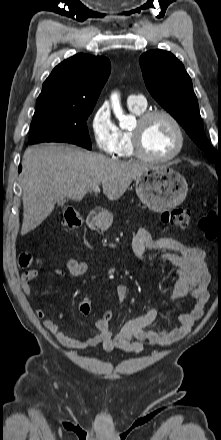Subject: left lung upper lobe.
<instances>
[{"label":"left lung upper lobe","mask_w":221,"mask_h":440,"mask_svg":"<svg viewBox=\"0 0 221 440\" xmlns=\"http://www.w3.org/2000/svg\"><path fill=\"white\" fill-rule=\"evenodd\" d=\"M143 78L153 98L186 130L213 160L216 153L204 133L192 81L182 62L172 53L151 50L139 58Z\"/></svg>","instance_id":"left-lung-upper-lobe-1"}]
</instances>
